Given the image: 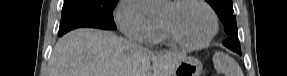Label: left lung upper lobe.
Returning <instances> with one entry per match:
<instances>
[{
	"instance_id": "5c2ea615",
	"label": "left lung upper lobe",
	"mask_w": 287,
	"mask_h": 76,
	"mask_svg": "<svg viewBox=\"0 0 287 76\" xmlns=\"http://www.w3.org/2000/svg\"><path fill=\"white\" fill-rule=\"evenodd\" d=\"M216 11L225 26L228 38L224 41V46L233 50L240 51V43L237 33L236 18L233 15L232 0H206Z\"/></svg>"
}]
</instances>
